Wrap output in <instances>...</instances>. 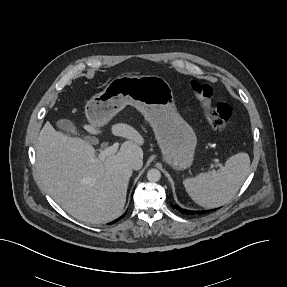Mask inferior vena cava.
<instances>
[{
    "label": "inferior vena cava",
    "instance_id": "1",
    "mask_svg": "<svg viewBox=\"0 0 287 287\" xmlns=\"http://www.w3.org/2000/svg\"><path fill=\"white\" fill-rule=\"evenodd\" d=\"M143 165V161L142 159H138V158H132L131 160H129L128 162V166L133 169V170H139L142 168Z\"/></svg>",
    "mask_w": 287,
    "mask_h": 287
}]
</instances>
